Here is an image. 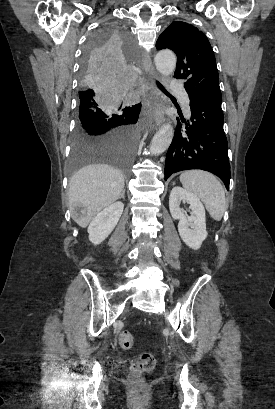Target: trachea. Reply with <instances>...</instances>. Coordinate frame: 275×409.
I'll return each mask as SVG.
<instances>
[{
  "label": "trachea",
  "mask_w": 275,
  "mask_h": 409,
  "mask_svg": "<svg viewBox=\"0 0 275 409\" xmlns=\"http://www.w3.org/2000/svg\"><path fill=\"white\" fill-rule=\"evenodd\" d=\"M156 83H157V86H158V88H159L160 90L166 92L165 88L163 87V85H161V83H159V82H156Z\"/></svg>",
  "instance_id": "3493384b"
}]
</instances>
